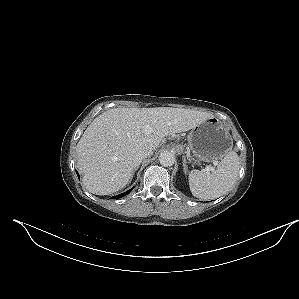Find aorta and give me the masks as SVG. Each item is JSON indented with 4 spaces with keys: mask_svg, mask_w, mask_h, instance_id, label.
<instances>
[{
    "mask_svg": "<svg viewBox=\"0 0 299 299\" xmlns=\"http://www.w3.org/2000/svg\"><path fill=\"white\" fill-rule=\"evenodd\" d=\"M159 162L165 167L172 166L175 163V154L170 151H164L159 155Z\"/></svg>",
    "mask_w": 299,
    "mask_h": 299,
    "instance_id": "1",
    "label": "aorta"
}]
</instances>
